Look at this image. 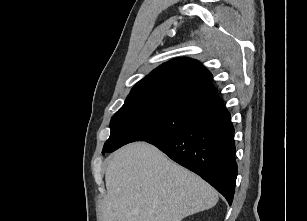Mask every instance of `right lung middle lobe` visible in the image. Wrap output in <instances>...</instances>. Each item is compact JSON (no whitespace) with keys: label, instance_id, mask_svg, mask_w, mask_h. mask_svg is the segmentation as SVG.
I'll return each mask as SVG.
<instances>
[{"label":"right lung middle lobe","instance_id":"dd1d6c3e","mask_svg":"<svg viewBox=\"0 0 307 221\" xmlns=\"http://www.w3.org/2000/svg\"><path fill=\"white\" fill-rule=\"evenodd\" d=\"M210 109L187 102L137 100L125 102L111 119V134L103 147L113 152L135 141H149L176 133Z\"/></svg>","mask_w":307,"mask_h":221}]
</instances>
